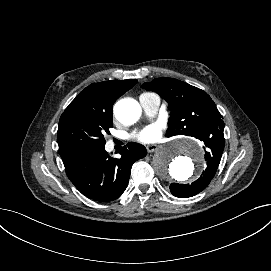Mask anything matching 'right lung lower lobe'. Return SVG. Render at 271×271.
<instances>
[{
	"instance_id": "right-lung-lower-lobe-1",
	"label": "right lung lower lobe",
	"mask_w": 271,
	"mask_h": 271,
	"mask_svg": "<svg viewBox=\"0 0 271 271\" xmlns=\"http://www.w3.org/2000/svg\"><path fill=\"white\" fill-rule=\"evenodd\" d=\"M127 146L119 159L111 158L104 147L62 158L66 174L86 197L98 202L115 200L128 185L133 163L146 155L145 147L140 144Z\"/></svg>"
}]
</instances>
